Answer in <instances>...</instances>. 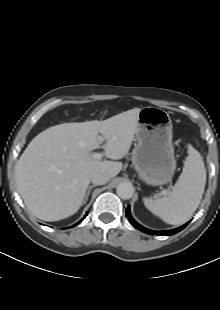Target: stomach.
Returning a JSON list of instances; mask_svg holds the SVG:
<instances>
[{"label":"stomach","mask_w":220,"mask_h":310,"mask_svg":"<svg viewBox=\"0 0 220 310\" xmlns=\"http://www.w3.org/2000/svg\"><path fill=\"white\" fill-rule=\"evenodd\" d=\"M136 140L132 162L142 181L152 186L170 182L176 159L169 114L157 107L142 108L138 115Z\"/></svg>","instance_id":"0dacf381"}]
</instances>
